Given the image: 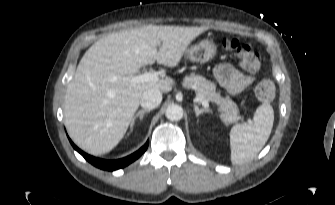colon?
Segmentation results:
<instances>
[{
  "instance_id": "colon-1",
  "label": "colon",
  "mask_w": 335,
  "mask_h": 205,
  "mask_svg": "<svg viewBox=\"0 0 335 205\" xmlns=\"http://www.w3.org/2000/svg\"><path fill=\"white\" fill-rule=\"evenodd\" d=\"M223 46L226 50H232L237 54L240 64L245 70L256 72L260 68V53L253 45L229 39L223 43ZM254 94L261 102L272 101L276 94L275 86L270 80H262L255 86Z\"/></svg>"
}]
</instances>
